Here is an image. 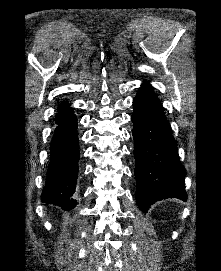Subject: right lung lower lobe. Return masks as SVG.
I'll return each instance as SVG.
<instances>
[{
	"instance_id": "right-lung-lower-lobe-1",
	"label": "right lung lower lobe",
	"mask_w": 221,
	"mask_h": 271,
	"mask_svg": "<svg viewBox=\"0 0 221 271\" xmlns=\"http://www.w3.org/2000/svg\"><path fill=\"white\" fill-rule=\"evenodd\" d=\"M69 104L59 106L55 117L56 128L50 145V162L46 184L42 191V201L71 210L76 200L75 192L80 156L77 118Z\"/></svg>"
}]
</instances>
